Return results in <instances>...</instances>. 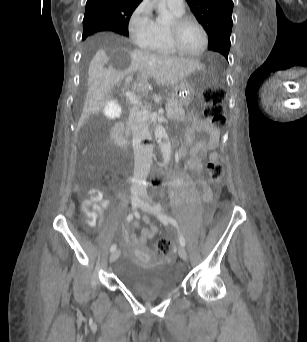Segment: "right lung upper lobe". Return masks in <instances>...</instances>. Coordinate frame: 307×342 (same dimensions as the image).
Returning <instances> with one entry per match:
<instances>
[{
  "label": "right lung upper lobe",
  "instance_id": "obj_1",
  "mask_svg": "<svg viewBox=\"0 0 307 342\" xmlns=\"http://www.w3.org/2000/svg\"><path fill=\"white\" fill-rule=\"evenodd\" d=\"M142 0H87L85 14L97 15L109 30L128 31L131 14Z\"/></svg>",
  "mask_w": 307,
  "mask_h": 342
}]
</instances>
